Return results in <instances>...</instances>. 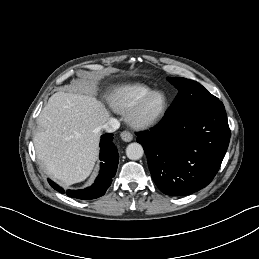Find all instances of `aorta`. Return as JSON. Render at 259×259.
Returning <instances> with one entry per match:
<instances>
[{
  "label": "aorta",
  "mask_w": 259,
  "mask_h": 259,
  "mask_svg": "<svg viewBox=\"0 0 259 259\" xmlns=\"http://www.w3.org/2000/svg\"><path fill=\"white\" fill-rule=\"evenodd\" d=\"M143 154V147L139 143H131L126 148V155L131 160H139Z\"/></svg>",
  "instance_id": "obj_1"
}]
</instances>
